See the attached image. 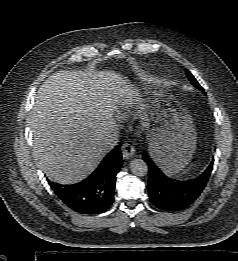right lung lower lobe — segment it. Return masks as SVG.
<instances>
[{"label": "right lung lower lobe", "mask_w": 238, "mask_h": 261, "mask_svg": "<svg viewBox=\"0 0 238 261\" xmlns=\"http://www.w3.org/2000/svg\"><path fill=\"white\" fill-rule=\"evenodd\" d=\"M122 155L115 147L86 179L73 185L55 184L48 180L56 195L71 209L81 214H98L114 201L116 174Z\"/></svg>", "instance_id": "1"}]
</instances>
